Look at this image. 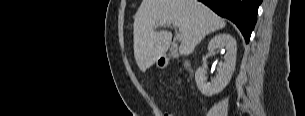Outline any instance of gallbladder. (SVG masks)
Listing matches in <instances>:
<instances>
[{"mask_svg":"<svg viewBox=\"0 0 305 116\" xmlns=\"http://www.w3.org/2000/svg\"><path fill=\"white\" fill-rule=\"evenodd\" d=\"M169 57H175V49H172L169 53Z\"/></svg>","mask_w":305,"mask_h":116,"instance_id":"1","label":"gallbladder"}]
</instances>
